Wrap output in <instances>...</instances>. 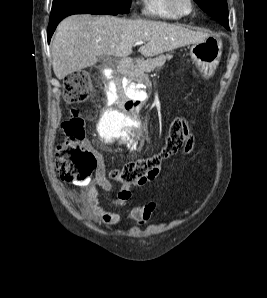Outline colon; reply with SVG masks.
<instances>
[{"mask_svg": "<svg viewBox=\"0 0 267 298\" xmlns=\"http://www.w3.org/2000/svg\"><path fill=\"white\" fill-rule=\"evenodd\" d=\"M91 90V80L87 72L80 71L68 75L64 80L63 97L70 104L84 101ZM65 143L59 147L55 166L59 176L66 181H84L97 167L95 153L87 148L84 140V122L72 110L62 124ZM194 142L188 121L183 117L175 118L169 124L162 148L154 155L131 161L121 168L110 172V178L123 184H134L151 178L161 162L181 150L189 153Z\"/></svg>", "mask_w": 267, "mask_h": 298, "instance_id": "1", "label": "colon"}]
</instances>
